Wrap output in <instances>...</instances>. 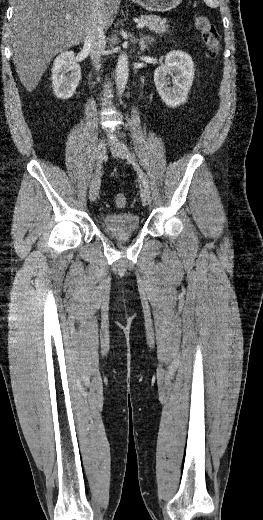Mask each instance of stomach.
Instances as JSON below:
<instances>
[{
	"label": "stomach",
	"mask_w": 263,
	"mask_h": 520,
	"mask_svg": "<svg viewBox=\"0 0 263 520\" xmlns=\"http://www.w3.org/2000/svg\"><path fill=\"white\" fill-rule=\"evenodd\" d=\"M148 11L168 12L175 9L182 0H132Z\"/></svg>",
	"instance_id": "0dacf381"
}]
</instances>
